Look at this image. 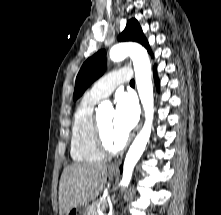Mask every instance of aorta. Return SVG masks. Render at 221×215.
<instances>
[{"label":"aorta","mask_w":221,"mask_h":215,"mask_svg":"<svg viewBox=\"0 0 221 215\" xmlns=\"http://www.w3.org/2000/svg\"><path fill=\"white\" fill-rule=\"evenodd\" d=\"M127 56L133 61L137 90L145 112V122L124 160L121 180V185L124 187L129 185L134 167L149 141L154 115L151 63L148 53L144 47L137 43H120L114 45L109 51V57L114 62L122 61ZM108 106H110V103L105 101L101 103L100 108Z\"/></svg>","instance_id":"762f6f07"}]
</instances>
